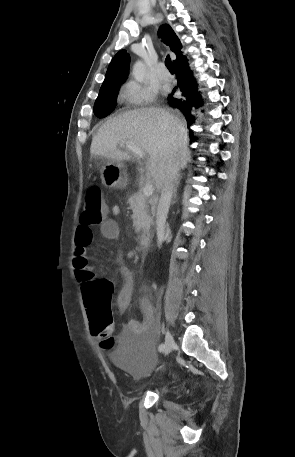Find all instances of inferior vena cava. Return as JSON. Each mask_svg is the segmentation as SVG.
<instances>
[{"mask_svg": "<svg viewBox=\"0 0 295 457\" xmlns=\"http://www.w3.org/2000/svg\"><path fill=\"white\" fill-rule=\"evenodd\" d=\"M178 172L179 161L170 160L168 164V169L162 178L161 196L159 199L156 213V231L159 247L161 246L164 235V226L167 219V214L169 211L172 195L174 192V186L179 176Z\"/></svg>", "mask_w": 295, "mask_h": 457, "instance_id": "obj_1", "label": "inferior vena cava"}]
</instances>
